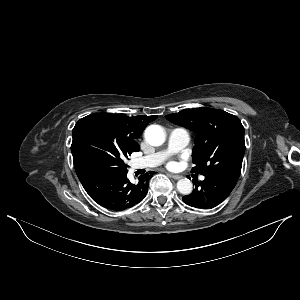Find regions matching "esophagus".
I'll return each instance as SVG.
<instances>
[{
    "mask_svg": "<svg viewBox=\"0 0 300 300\" xmlns=\"http://www.w3.org/2000/svg\"><path fill=\"white\" fill-rule=\"evenodd\" d=\"M168 175H169V177H171L174 180H179L182 178L181 175H177V174H168Z\"/></svg>",
    "mask_w": 300,
    "mask_h": 300,
    "instance_id": "obj_1",
    "label": "esophagus"
}]
</instances>
